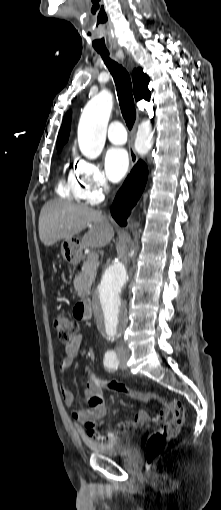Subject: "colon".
<instances>
[{"mask_svg": "<svg viewBox=\"0 0 221 510\" xmlns=\"http://www.w3.org/2000/svg\"><path fill=\"white\" fill-rule=\"evenodd\" d=\"M53 327L57 332L59 341L64 344H69L78 331L77 321L62 313L54 316ZM95 383L97 386H104L110 391L124 394L143 402H156L163 407L157 416L158 422H162V425L159 430L148 438L145 446L147 466H151L155 459L166 450L168 442L179 434L185 420V408L183 403L180 400L167 401L164 399H157L152 394L133 390L115 380L103 381L101 379H96ZM100 400L99 397L94 396L88 399V403L89 405H94ZM169 414L171 418L167 419ZM101 437L102 435H100V438Z\"/></svg>", "mask_w": 221, "mask_h": 510, "instance_id": "5ec220e1", "label": "colon"}]
</instances>
